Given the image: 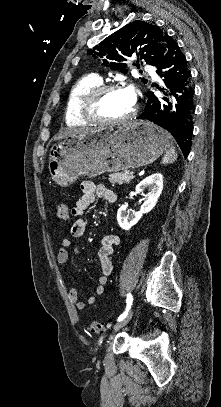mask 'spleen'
<instances>
[{
  "label": "spleen",
  "mask_w": 221,
  "mask_h": 407,
  "mask_svg": "<svg viewBox=\"0 0 221 407\" xmlns=\"http://www.w3.org/2000/svg\"><path fill=\"white\" fill-rule=\"evenodd\" d=\"M178 155L176 153L175 147L170 146L169 150L166 151L163 159H162V164H171L176 161Z\"/></svg>",
  "instance_id": "obj_1"
}]
</instances>
